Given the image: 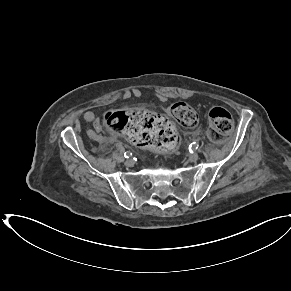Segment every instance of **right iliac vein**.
<instances>
[{"instance_id": "obj_1", "label": "right iliac vein", "mask_w": 291, "mask_h": 291, "mask_svg": "<svg viewBox=\"0 0 291 291\" xmlns=\"http://www.w3.org/2000/svg\"><path fill=\"white\" fill-rule=\"evenodd\" d=\"M125 165H126L127 167H132V166L134 165V162H133V160L128 159V160L125 161Z\"/></svg>"}]
</instances>
